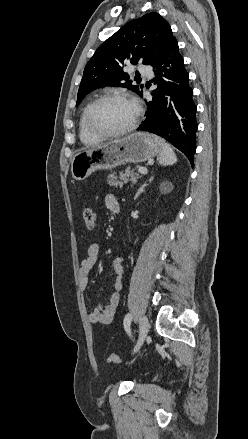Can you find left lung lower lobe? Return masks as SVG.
Here are the masks:
<instances>
[{
    "instance_id": "left-lung-lower-lobe-1",
    "label": "left lung lower lobe",
    "mask_w": 248,
    "mask_h": 439,
    "mask_svg": "<svg viewBox=\"0 0 248 439\" xmlns=\"http://www.w3.org/2000/svg\"><path fill=\"white\" fill-rule=\"evenodd\" d=\"M153 68L159 88L151 93L153 100L146 102V118L137 130L163 137L183 152L193 166L198 128L197 107L177 41ZM158 96H163L160 101Z\"/></svg>"
}]
</instances>
